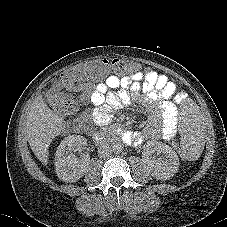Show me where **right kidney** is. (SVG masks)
Masks as SVG:
<instances>
[{
	"instance_id": "right-kidney-1",
	"label": "right kidney",
	"mask_w": 227,
	"mask_h": 227,
	"mask_svg": "<svg viewBox=\"0 0 227 227\" xmlns=\"http://www.w3.org/2000/svg\"><path fill=\"white\" fill-rule=\"evenodd\" d=\"M87 145V139L80 135L66 137L58 146L55 154V167L59 179L64 182H76L85 174L89 164V155L81 158L75 152L81 151Z\"/></svg>"
}]
</instances>
